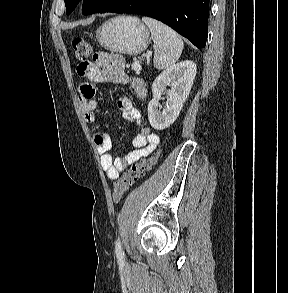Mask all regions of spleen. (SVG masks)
<instances>
[{
    "mask_svg": "<svg viewBox=\"0 0 288 293\" xmlns=\"http://www.w3.org/2000/svg\"><path fill=\"white\" fill-rule=\"evenodd\" d=\"M142 20L149 27L155 43L154 67L158 70L171 67L182 53L181 37L173 29L155 19L143 17Z\"/></svg>",
    "mask_w": 288,
    "mask_h": 293,
    "instance_id": "3e777b00",
    "label": "spleen"
}]
</instances>
